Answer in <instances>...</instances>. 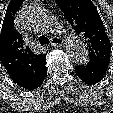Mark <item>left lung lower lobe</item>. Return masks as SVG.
I'll return each mask as SVG.
<instances>
[{"mask_svg":"<svg viewBox=\"0 0 113 113\" xmlns=\"http://www.w3.org/2000/svg\"><path fill=\"white\" fill-rule=\"evenodd\" d=\"M106 71L107 67L92 61L85 65L75 66V73L87 84L100 82L104 78Z\"/></svg>","mask_w":113,"mask_h":113,"instance_id":"left-lung-lower-lobe-1","label":"left lung lower lobe"}]
</instances>
